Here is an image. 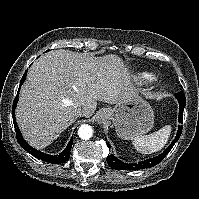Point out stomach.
<instances>
[{"label":"stomach","instance_id":"1","mask_svg":"<svg viewBox=\"0 0 199 199\" xmlns=\"http://www.w3.org/2000/svg\"><path fill=\"white\" fill-rule=\"evenodd\" d=\"M104 111L103 121L112 122L117 135L125 140L148 133L154 124V112L139 93L118 101L113 108Z\"/></svg>","mask_w":199,"mask_h":199}]
</instances>
